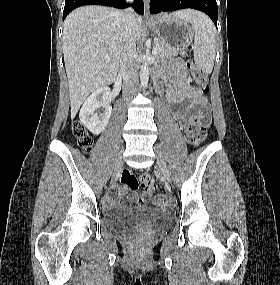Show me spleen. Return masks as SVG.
Here are the masks:
<instances>
[{
  "label": "spleen",
  "instance_id": "1",
  "mask_svg": "<svg viewBox=\"0 0 280 285\" xmlns=\"http://www.w3.org/2000/svg\"><path fill=\"white\" fill-rule=\"evenodd\" d=\"M172 15L192 25L195 33L193 46L195 64L204 73H211L216 54V30L212 21L203 13L189 9L175 12Z\"/></svg>",
  "mask_w": 280,
  "mask_h": 285
}]
</instances>
